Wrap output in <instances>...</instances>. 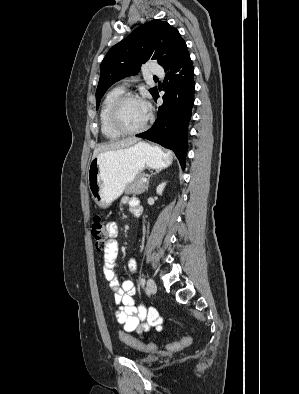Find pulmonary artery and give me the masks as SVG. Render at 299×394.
<instances>
[{"label": "pulmonary artery", "mask_w": 299, "mask_h": 394, "mask_svg": "<svg viewBox=\"0 0 299 394\" xmlns=\"http://www.w3.org/2000/svg\"><path fill=\"white\" fill-rule=\"evenodd\" d=\"M153 74L156 75V76L162 77V76L164 75V70H163L162 68L156 67V68L153 69ZM126 84H127V83H125V85H126ZM125 85L122 86V88H125Z\"/></svg>", "instance_id": "1"}]
</instances>
